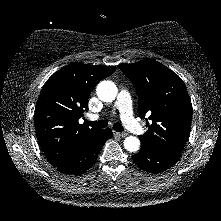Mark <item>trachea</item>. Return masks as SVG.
Listing matches in <instances>:
<instances>
[{
    "label": "trachea",
    "mask_w": 221,
    "mask_h": 221,
    "mask_svg": "<svg viewBox=\"0 0 221 221\" xmlns=\"http://www.w3.org/2000/svg\"><path fill=\"white\" fill-rule=\"evenodd\" d=\"M86 123L89 126L95 127V128H104V127L108 126V122L106 120H99V121H95V122L86 121ZM113 129L117 132H122L124 130L123 126L119 123H114Z\"/></svg>",
    "instance_id": "trachea-1"
}]
</instances>
